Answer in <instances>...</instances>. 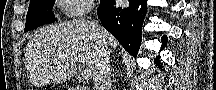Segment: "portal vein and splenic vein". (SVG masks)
Returning a JSON list of instances; mask_svg holds the SVG:
<instances>
[{
  "label": "portal vein and splenic vein",
  "instance_id": "portal-vein-and-splenic-vein-1",
  "mask_svg": "<svg viewBox=\"0 0 216 90\" xmlns=\"http://www.w3.org/2000/svg\"><path fill=\"white\" fill-rule=\"evenodd\" d=\"M82 78H88L87 74H82Z\"/></svg>",
  "mask_w": 216,
  "mask_h": 90
}]
</instances>
